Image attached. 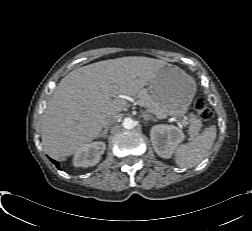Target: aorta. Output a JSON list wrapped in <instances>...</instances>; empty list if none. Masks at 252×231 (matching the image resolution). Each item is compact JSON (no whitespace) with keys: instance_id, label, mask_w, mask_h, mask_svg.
<instances>
[{"instance_id":"762f6f07","label":"aorta","mask_w":252,"mask_h":231,"mask_svg":"<svg viewBox=\"0 0 252 231\" xmlns=\"http://www.w3.org/2000/svg\"><path fill=\"white\" fill-rule=\"evenodd\" d=\"M122 125L125 129H132L134 127V121L131 118H125Z\"/></svg>"}]
</instances>
